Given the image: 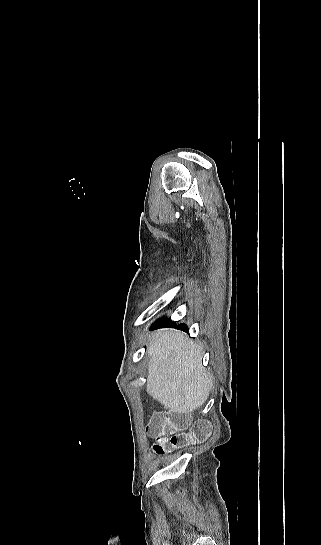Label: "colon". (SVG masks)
Segmentation results:
<instances>
[{"label": "colon", "instance_id": "colon-1", "mask_svg": "<svg viewBox=\"0 0 321 545\" xmlns=\"http://www.w3.org/2000/svg\"><path fill=\"white\" fill-rule=\"evenodd\" d=\"M189 422V416L185 412H154L147 427V433L153 439V451L163 455L203 442L209 437L211 426L208 421L199 420L187 431Z\"/></svg>", "mask_w": 321, "mask_h": 545}]
</instances>
